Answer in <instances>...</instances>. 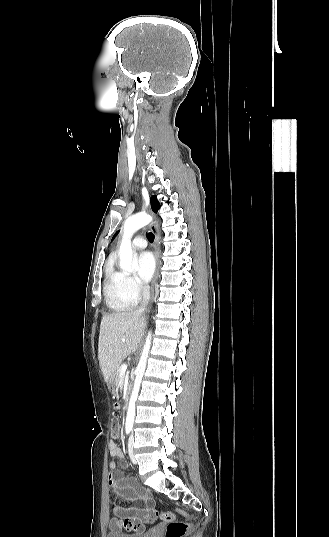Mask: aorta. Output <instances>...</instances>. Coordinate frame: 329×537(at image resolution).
Listing matches in <instances>:
<instances>
[{
	"mask_svg": "<svg viewBox=\"0 0 329 537\" xmlns=\"http://www.w3.org/2000/svg\"><path fill=\"white\" fill-rule=\"evenodd\" d=\"M152 221V218L147 215L144 212L137 213L133 216H130L123 228V238L120 244V268L125 272H132L136 269V260L133 258V251L131 248V237L132 235L139 229L143 228L147 224H149ZM151 340H152V334L151 332H148V335L146 337V341L141 353V357L139 360V363L137 365L136 371H135V381L134 386L132 390V394L130 396L127 416H126V426L133 427L134 419H135V406L136 401L138 398L140 385L142 381V377L144 375L146 365H147V358L150 351L151 346Z\"/></svg>",
	"mask_w": 329,
	"mask_h": 537,
	"instance_id": "obj_1",
	"label": "aorta"
}]
</instances>
